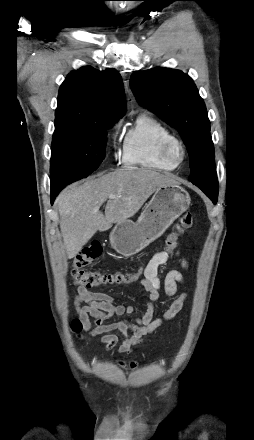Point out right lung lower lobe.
I'll list each match as a JSON object with an SVG mask.
<instances>
[{
	"label": "right lung lower lobe",
	"instance_id": "right-lung-lower-lobe-1",
	"mask_svg": "<svg viewBox=\"0 0 254 440\" xmlns=\"http://www.w3.org/2000/svg\"><path fill=\"white\" fill-rule=\"evenodd\" d=\"M67 184L63 183V184H58L55 186H51V204H53L55 197L57 196V194L60 192V190L62 188H64Z\"/></svg>",
	"mask_w": 254,
	"mask_h": 440
}]
</instances>
